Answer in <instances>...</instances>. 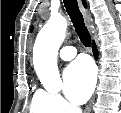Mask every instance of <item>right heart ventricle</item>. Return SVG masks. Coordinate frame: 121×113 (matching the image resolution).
<instances>
[{
	"label": "right heart ventricle",
	"instance_id": "right-heart-ventricle-1",
	"mask_svg": "<svg viewBox=\"0 0 121 113\" xmlns=\"http://www.w3.org/2000/svg\"><path fill=\"white\" fill-rule=\"evenodd\" d=\"M28 109L29 113H54L56 111L51 94L43 89L34 91L30 98Z\"/></svg>",
	"mask_w": 121,
	"mask_h": 113
}]
</instances>
